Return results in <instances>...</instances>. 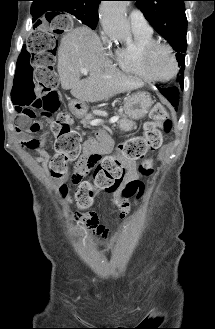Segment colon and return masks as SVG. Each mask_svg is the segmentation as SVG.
<instances>
[{"label": "colon", "mask_w": 215, "mask_h": 329, "mask_svg": "<svg viewBox=\"0 0 215 329\" xmlns=\"http://www.w3.org/2000/svg\"><path fill=\"white\" fill-rule=\"evenodd\" d=\"M71 14H42L41 19H35L31 25L26 48L21 55H15V73L18 81H12L11 103H16L18 114L26 122L19 129L32 134L38 133L39 124H28V120L36 117L55 118L52 131L56 137L55 154L49 162L51 176L62 179L67 175L68 165L80 153L81 136L70 128L71 118L67 113L57 114L59 100L56 92L57 76L54 63L57 49L60 48L58 38H63L65 32L72 31ZM151 120L144 126V134L122 143L118 154L102 157L92 154L77 166L72 174V182L77 184L74 200L78 209L85 211L93 203L98 191L114 192L122 186L125 176L123 160L143 159L149 150L157 149L163 134L171 130L172 122L165 106L155 104L150 112ZM39 146L38 140L32 142ZM143 175L153 172L152 161L144 159L139 167ZM86 177L92 182L85 180ZM63 195L68 194L66 184L60 186ZM128 199H125L127 201Z\"/></svg>", "instance_id": "obj_1"}]
</instances>
